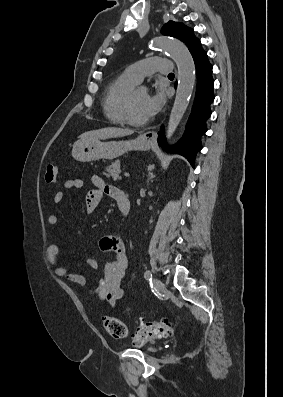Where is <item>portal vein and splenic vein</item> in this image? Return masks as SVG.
Instances as JSON below:
<instances>
[{
    "instance_id": "portal-vein-and-splenic-vein-1",
    "label": "portal vein and splenic vein",
    "mask_w": 283,
    "mask_h": 397,
    "mask_svg": "<svg viewBox=\"0 0 283 397\" xmlns=\"http://www.w3.org/2000/svg\"><path fill=\"white\" fill-rule=\"evenodd\" d=\"M124 176H125V177H129L130 174H129L128 172H125V173H124Z\"/></svg>"
}]
</instances>
